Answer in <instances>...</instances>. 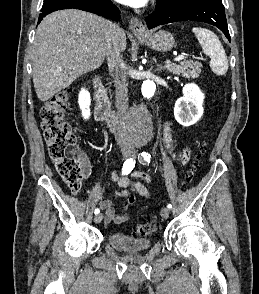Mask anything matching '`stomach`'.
Wrapping results in <instances>:
<instances>
[{"instance_id": "stomach-1", "label": "stomach", "mask_w": 259, "mask_h": 294, "mask_svg": "<svg viewBox=\"0 0 259 294\" xmlns=\"http://www.w3.org/2000/svg\"><path fill=\"white\" fill-rule=\"evenodd\" d=\"M151 49L158 52H167L175 47V40L171 33L167 31H158L146 35H136Z\"/></svg>"}]
</instances>
